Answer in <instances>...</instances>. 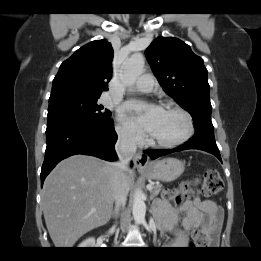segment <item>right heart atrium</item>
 Returning a JSON list of instances; mask_svg holds the SVG:
<instances>
[{
  "label": "right heart atrium",
  "instance_id": "d8ad5b80",
  "mask_svg": "<svg viewBox=\"0 0 261 261\" xmlns=\"http://www.w3.org/2000/svg\"><path fill=\"white\" fill-rule=\"evenodd\" d=\"M116 131L120 140L126 144L134 145L141 140L137 129L130 125L120 113L117 115Z\"/></svg>",
  "mask_w": 261,
  "mask_h": 261
}]
</instances>
